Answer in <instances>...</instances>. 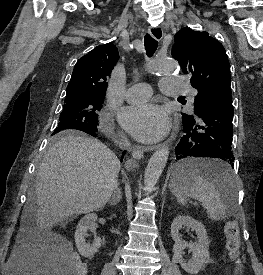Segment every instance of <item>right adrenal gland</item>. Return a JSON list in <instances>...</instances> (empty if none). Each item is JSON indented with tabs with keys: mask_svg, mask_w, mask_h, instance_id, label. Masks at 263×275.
<instances>
[{
	"mask_svg": "<svg viewBox=\"0 0 263 275\" xmlns=\"http://www.w3.org/2000/svg\"><path fill=\"white\" fill-rule=\"evenodd\" d=\"M121 198H122L121 190L119 188V184L117 183V185L115 186L112 198L109 201L110 205H116L121 200Z\"/></svg>",
	"mask_w": 263,
	"mask_h": 275,
	"instance_id": "2a0ac1e0",
	"label": "right adrenal gland"
}]
</instances>
